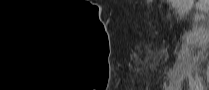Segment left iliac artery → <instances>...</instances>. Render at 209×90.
I'll use <instances>...</instances> for the list:
<instances>
[{
  "mask_svg": "<svg viewBox=\"0 0 209 90\" xmlns=\"http://www.w3.org/2000/svg\"><path fill=\"white\" fill-rule=\"evenodd\" d=\"M196 82H197V87L201 86V80L198 76L196 77Z\"/></svg>",
  "mask_w": 209,
  "mask_h": 90,
  "instance_id": "1",
  "label": "left iliac artery"
}]
</instances>
